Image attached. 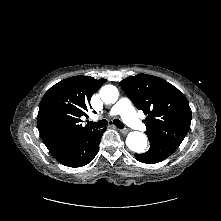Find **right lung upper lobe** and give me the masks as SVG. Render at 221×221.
Segmentation results:
<instances>
[{
    "instance_id": "1",
    "label": "right lung upper lobe",
    "mask_w": 221,
    "mask_h": 221,
    "mask_svg": "<svg viewBox=\"0 0 221 221\" xmlns=\"http://www.w3.org/2000/svg\"><path fill=\"white\" fill-rule=\"evenodd\" d=\"M106 82L89 76H74L52 86L39 104L37 126L50 152L92 130L82 126L81 117L87 116L91 96ZM91 108V107H90Z\"/></svg>"
}]
</instances>
